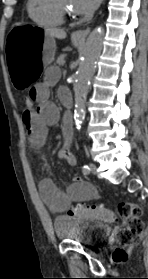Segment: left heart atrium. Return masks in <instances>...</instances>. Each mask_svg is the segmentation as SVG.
I'll use <instances>...</instances> for the list:
<instances>
[{"mask_svg": "<svg viewBox=\"0 0 148 279\" xmlns=\"http://www.w3.org/2000/svg\"><path fill=\"white\" fill-rule=\"evenodd\" d=\"M101 0H73L74 10L83 15H89L95 11Z\"/></svg>", "mask_w": 148, "mask_h": 279, "instance_id": "1", "label": "left heart atrium"}]
</instances>
